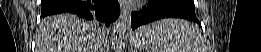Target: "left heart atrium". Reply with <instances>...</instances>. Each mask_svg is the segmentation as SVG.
Segmentation results:
<instances>
[{"label":"left heart atrium","instance_id":"1","mask_svg":"<svg viewBox=\"0 0 261 52\" xmlns=\"http://www.w3.org/2000/svg\"><path fill=\"white\" fill-rule=\"evenodd\" d=\"M122 2H123V4H125L126 6H132V5L141 3L140 0H123Z\"/></svg>","mask_w":261,"mask_h":52}]
</instances>
